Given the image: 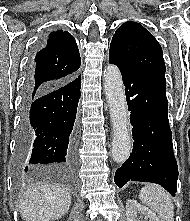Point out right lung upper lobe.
<instances>
[{
    "instance_id": "cb5924a9",
    "label": "right lung upper lobe",
    "mask_w": 190,
    "mask_h": 221,
    "mask_svg": "<svg viewBox=\"0 0 190 221\" xmlns=\"http://www.w3.org/2000/svg\"><path fill=\"white\" fill-rule=\"evenodd\" d=\"M81 64L74 37L67 31L50 33L46 45L37 52L28 77L32 91L68 82L77 76Z\"/></svg>"
}]
</instances>
